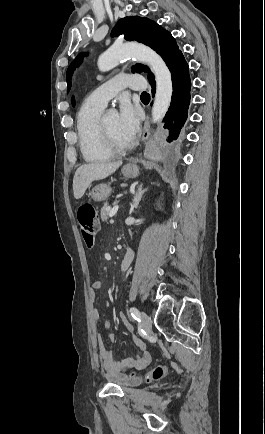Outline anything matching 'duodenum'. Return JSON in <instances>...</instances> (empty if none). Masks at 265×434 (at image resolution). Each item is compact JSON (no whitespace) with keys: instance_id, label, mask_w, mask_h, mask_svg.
I'll return each instance as SVG.
<instances>
[{"instance_id":"1","label":"duodenum","mask_w":265,"mask_h":434,"mask_svg":"<svg viewBox=\"0 0 265 434\" xmlns=\"http://www.w3.org/2000/svg\"><path fill=\"white\" fill-rule=\"evenodd\" d=\"M134 257V250L129 248L120 261V271L124 273Z\"/></svg>"}]
</instances>
